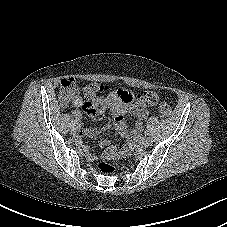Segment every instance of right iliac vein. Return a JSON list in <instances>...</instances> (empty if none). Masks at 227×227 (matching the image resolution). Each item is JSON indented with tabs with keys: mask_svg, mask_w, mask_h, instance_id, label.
I'll use <instances>...</instances> for the list:
<instances>
[{
	"mask_svg": "<svg viewBox=\"0 0 227 227\" xmlns=\"http://www.w3.org/2000/svg\"><path fill=\"white\" fill-rule=\"evenodd\" d=\"M71 133L75 136V135H77L78 130L74 128Z\"/></svg>",
	"mask_w": 227,
	"mask_h": 227,
	"instance_id": "obj_1",
	"label": "right iliac vein"
}]
</instances>
